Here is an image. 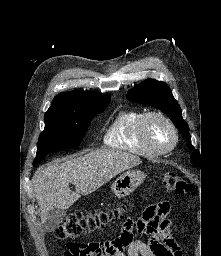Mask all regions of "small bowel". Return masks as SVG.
Returning a JSON list of instances; mask_svg holds the SVG:
<instances>
[{
	"label": "small bowel",
	"mask_w": 221,
	"mask_h": 256,
	"mask_svg": "<svg viewBox=\"0 0 221 256\" xmlns=\"http://www.w3.org/2000/svg\"><path fill=\"white\" fill-rule=\"evenodd\" d=\"M169 212L168 202L151 205L139 219H126L118 237L84 244L77 252L66 251L65 256H182ZM135 232L144 234L147 241L134 239Z\"/></svg>",
	"instance_id": "small-bowel-1"
}]
</instances>
